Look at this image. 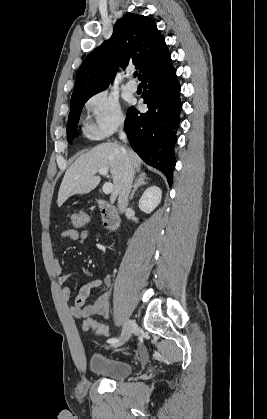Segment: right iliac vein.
Masks as SVG:
<instances>
[{"mask_svg": "<svg viewBox=\"0 0 267 419\" xmlns=\"http://www.w3.org/2000/svg\"><path fill=\"white\" fill-rule=\"evenodd\" d=\"M134 329V322L130 319H127L123 326L122 334L119 338V341L117 343L112 344L113 347H118L127 342L132 334V331Z\"/></svg>", "mask_w": 267, "mask_h": 419, "instance_id": "1", "label": "right iliac vein"}]
</instances>
